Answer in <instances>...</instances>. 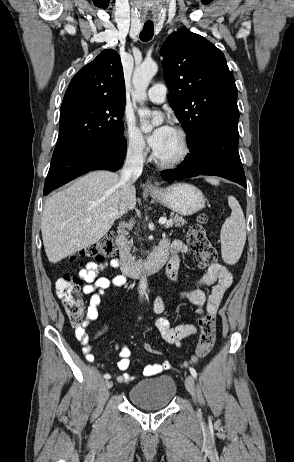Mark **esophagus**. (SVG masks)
Segmentation results:
<instances>
[{"label": "esophagus", "mask_w": 294, "mask_h": 462, "mask_svg": "<svg viewBox=\"0 0 294 462\" xmlns=\"http://www.w3.org/2000/svg\"><path fill=\"white\" fill-rule=\"evenodd\" d=\"M146 188L149 190V191H154L156 189V187L151 183V181H147L146 182Z\"/></svg>", "instance_id": "34e87169"}]
</instances>
